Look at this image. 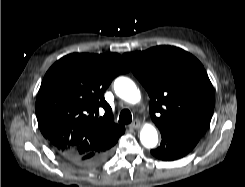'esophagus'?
I'll use <instances>...</instances> for the list:
<instances>
[{
    "instance_id": "obj_1",
    "label": "esophagus",
    "mask_w": 245,
    "mask_h": 187,
    "mask_svg": "<svg viewBox=\"0 0 245 187\" xmlns=\"http://www.w3.org/2000/svg\"><path fill=\"white\" fill-rule=\"evenodd\" d=\"M141 122L139 121V120H135V121H133L130 125H129V127L131 128V129H138V128H140L141 127Z\"/></svg>"
}]
</instances>
